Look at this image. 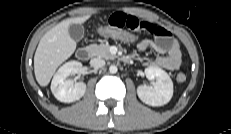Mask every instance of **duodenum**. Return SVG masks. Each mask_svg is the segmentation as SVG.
<instances>
[{
  "mask_svg": "<svg viewBox=\"0 0 231 134\" xmlns=\"http://www.w3.org/2000/svg\"><path fill=\"white\" fill-rule=\"evenodd\" d=\"M76 57L80 61H87L90 57V49L89 48H80L76 52Z\"/></svg>",
  "mask_w": 231,
  "mask_h": 134,
  "instance_id": "duodenum-1",
  "label": "duodenum"
}]
</instances>
